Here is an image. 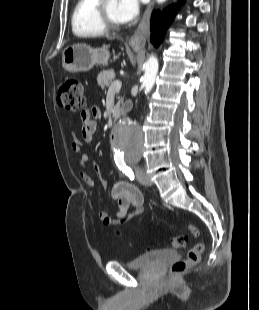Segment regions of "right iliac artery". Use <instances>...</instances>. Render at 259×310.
Listing matches in <instances>:
<instances>
[{
	"label": "right iliac artery",
	"instance_id": "right-iliac-artery-1",
	"mask_svg": "<svg viewBox=\"0 0 259 310\" xmlns=\"http://www.w3.org/2000/svg\"><path fill=\"white\" fill-rule=\"evenodd\" d=\"M117 167L125 174L127 175L131 180L134 179V173L131 170L130 167L126 165V163L123 160H115Z\"/></svg>",
	"mask_w": 259,
	"mask_h": 310
}]
</instances>
